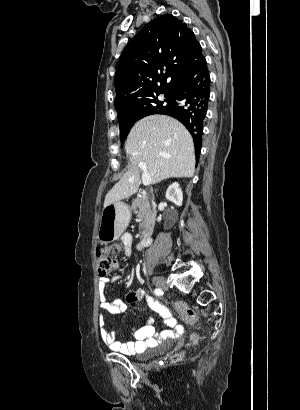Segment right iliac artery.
<instances>
[{
	"label": "right iliac artery",
	"instance_id": "82829eb1",
	"mask_svg": "<svg viewBox=\"0 0 300 410\" xmlns=\"http://www.w3.org/2000/svg\"><path fill=\"white\" fill-rule=\"evenodd\" d=\"M154 293H155L157 296L163 295V291H162L160 288H156V289L154 290Z\"/></svg>",
	"mask_w": 300,
	"mask_h": 410
}]
</instances>
